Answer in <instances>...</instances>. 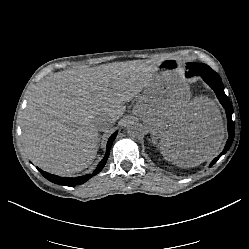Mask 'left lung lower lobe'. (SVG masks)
I'll return each mask as SVG.
<instances>
[{
  "mask_svg": "<svg viewBox=\"0 0 249 249\" xmlns=\"http://www.w3.org/2000/svg\"><path fill=\"white\" fill-rule=\"evenodd\" d=\"M185 75H186V77H191V75H189L187 73H185ZM200 76L216 93L217 98L219 99L220 103L222 104V106L226 110V115H227V119H228L229 138L226 142L224 150L220 153V155L218 157H216L211 162L210 165H213L214 163H216L218 161L219 157H221L223 154H225L229 150V148L233 142L234 125L232 122V107H231V103H230L229 98L226 96V94L224 92V86H223V83L221 81V78L214 70H213V72H211V74L200 75Z\"/></svg>",
  "mask_w": 249,
  "mask_h": 249,
  "instance_id": "left-lung-lower-lobe-1",
  "label": "left lung lower lobe"
}]
</instances>
